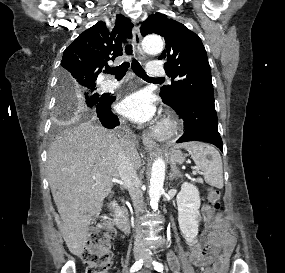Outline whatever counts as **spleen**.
Returning <instances> with one entry per match:
<instances>
[{"mask_svg": "<svg viewBox=\"0 0 285 273\" xmlns=\"http://www.w3.org/2000/svg\"><path fill=\"white\" fill-rule=\"evenodd\" d=\"M178 147L189 152L196 166L204 172V179L209 185L223 188L222 159L213 146L201 142H186Z\"/></svg>", "mask_w": 285, "mask_h": 273, "instance_id": "obj_1", "label": "spleen"}]
</instances>
